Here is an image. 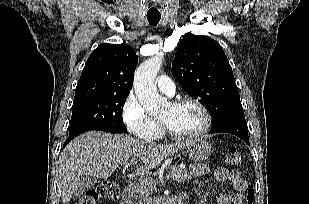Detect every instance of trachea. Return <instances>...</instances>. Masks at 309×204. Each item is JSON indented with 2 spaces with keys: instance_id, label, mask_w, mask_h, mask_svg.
Returning <instances> with one entry per match:
<instances>
[{
  "instance_id": "3493384b",
  "label": "trachea",
  "mask_w": 309,
  "mask_h": 204,
  "mask_svg": "<svg viewBox=\"0 0 309 204\" xmlns=\"http://www.w3.org/2000/svg\"><path fill=\"white\" fill-rule=\"evenodd\" d=\"M160 18H161V16H159V15H154V16L153 15H147L148 22L153 26H155L159 23Z\"/></svg>"
}]
</instances>
